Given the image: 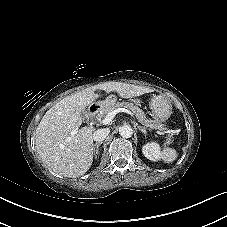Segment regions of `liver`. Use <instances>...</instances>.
Instances as JSON below:
<instances>
[{
  "label": "liver",
  "instance_id": "1",
  "mask_svg": "<svg viewBox=\"0 0 227 227\" xmlns=\"http://www.w3.org/2000/svg\"><path fill=\"white\" fill-rule=\"evenodd\" d=\"M97 89L117 92L126 99L152 91L138 85L109 82L67 96L51 107L36 128L35 144L43 163L56 174L77 178L92 165L95 128L80 126L85 108L98 97ZM73 130H77L74 135Z\"/></svg>",
  "mask_w": 227,
  "mask_h": 227
}]
</instances>
